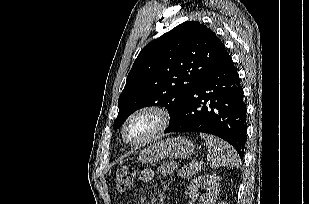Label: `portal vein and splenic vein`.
Segmentation results:
<instances>
[{"label":"portal vein and splenic vein","instance_id":"1","mask_svg":"<svg viewBox=\"0 0 309 204\" xmlns=\"http://www.w3.org/2000/svg\"><path fill=\"white\" fill-rule=\"evenodd\" d=\"M201 164H203V162H202V161H200L199 165H201Z\"/></svg>","mask_w":309,"mask_h":204}]
</instances>
